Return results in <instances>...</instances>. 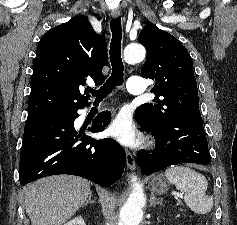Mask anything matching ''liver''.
I'll return each instance as SVG.
<instances>
[{"instance_id": "6515ba94", "label": "liver", "mask_w": 237, "mask_h": 225, "mask_svg": "<svg viewBox=\"0 0 237 225\" xmlns=\"http://www.w3.org/2000/svg\"><path fill=\"white\" fill-rule=\"evenodd\" d=\"M90 182L69 175L39 179L24 188L26 212L32 225H62L86 202Z\"/></svg>"}]
</instances>
